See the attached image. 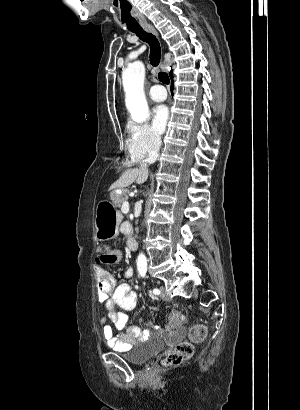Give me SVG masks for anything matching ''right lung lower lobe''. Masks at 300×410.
Here are the masks:
<instances>
[{
	"instance_id": "right-lung-lower-lobe-1",
	"label": "right lung lower lobe",
	"mask_w": 300,
	"mask_h": 410,
	"mask_svg": "<svg viewBox=\"0 0 300 410\" xmlns=\"http://www.w3.org/2000/svg\"><path fill=\"white\" fill-rule=\"evenodd\" d=\"M171 79H173V76H171ZM171 90H173V88L171 87Z\"/></svg>"
}]
</instances>
